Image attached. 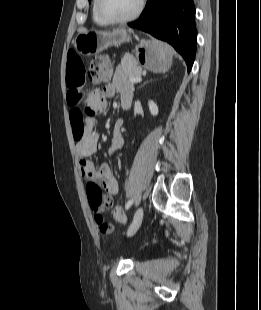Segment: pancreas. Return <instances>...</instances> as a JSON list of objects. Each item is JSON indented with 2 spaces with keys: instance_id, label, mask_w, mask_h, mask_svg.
<instances>
[{
  "instance_id": "obj_1",
  "label": "pancreas",
  "mask_w": 261,
  "mask_h": 310,
  "mask_svg": "<svg viewBox=\"0 0 261 310\" xmlns=\"http://www.w3.org/2000/svg\"><path fill=\"white\" fill-rule=\"evenodd\" d=\"M121 67L123 69V83L129 87H132L134 82H130V78L140 77L142 73L141 67H139L135 59L128 54H125L122 58Z\"/></svg>"
}]
</instances>
